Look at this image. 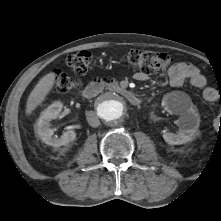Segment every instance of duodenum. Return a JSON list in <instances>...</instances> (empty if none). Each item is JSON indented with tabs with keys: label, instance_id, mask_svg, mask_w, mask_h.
<instances>
[{
	"label": "duodenum",
	"instance_id": "410a0bca",
	"mask_svg": "<svg viewBox=\"0 0 221 221\" xmlns=\"http://www.w3.org/2000/svg\"><path fill=\"white\" fill-rule=\"evenodd\" d=\"M106 84L107 82L102 79H95L91 81L84 88L83 96L86 99H93L104 89ZM108 86L114 94L124 97L131 104L138 105L140 103V99L138 98V96L131 90L126 89V88H121L117 86L116 84H114L113 82H109Z\"/></svg>",
	"mask_w": 221,
	"mask_h": 221
}]
</instances>
